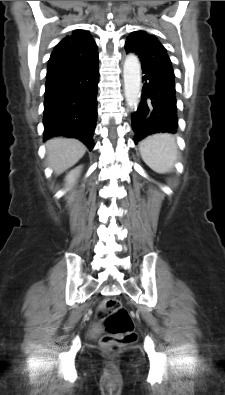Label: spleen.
<instances>
[{
    "instance_id": "obj_1",
    "label": "spleen",
    "mask_w": 225,
    "mask_h": 395,
    "mask_svg": "<svg viewBox=\"0 0 225 395\" xmlns=\"http://www.w3.org/2000/svg\"><path fill=\"white\" fill-rule=\"evenodd\" d=\"M139 150L143 161L157 173L172 171L177 161V144L170 134L148 136L140 143Z\"/></svg>"
}]
</instances>
